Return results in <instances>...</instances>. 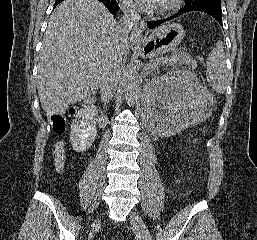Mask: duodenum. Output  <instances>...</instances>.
Returning <instances> with one entry per match:
<instances>
[{
    "label": "duodenum",
    "mask_w": 257,
    "mask_h": 240,
    "mask_svg": "<svg viewBox=\"0 0 257 240\" xmlns=\"http://www.w3.org/2000/svg\"><path fill=\"white\" fill-rule=\"evenodd\" d=\"M94 105V99L93 98H88L84 101V106L87 108V109H90L92 108Z\"/></svg>",
    "instance_id": "410a0bca"
}]
</instances>
